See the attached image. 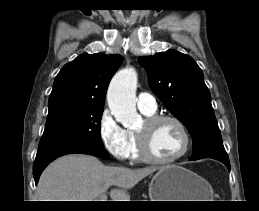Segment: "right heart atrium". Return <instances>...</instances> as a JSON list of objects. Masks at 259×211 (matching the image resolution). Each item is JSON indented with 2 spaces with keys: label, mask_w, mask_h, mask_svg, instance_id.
<instances>
[{
  "label": "right heart atrium",
  "mask_w": 259,
  "mask_h": 211,
  "mask_svg": "<svg viewBox=\"0 0 259 211\" xmlns=\"http://www.w3.org/2000/svg\"><path fill=\"white\" fill-rule=\"evenodd\" d=\"M98 134L104 148L117 160L129 157L130 141L126 131L105 108L98 120Z\"/></svg>",
  "instance_id": "d8ad5b80"
}]
</instances>
